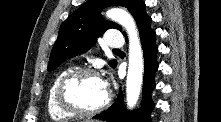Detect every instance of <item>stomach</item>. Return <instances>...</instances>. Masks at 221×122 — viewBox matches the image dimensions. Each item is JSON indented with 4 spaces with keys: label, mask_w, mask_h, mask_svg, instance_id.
I'll list each match as a JSON object with an SVG mask.
<instances>
[{
    "label": "stomach",
    "mask_w": 221,
    "mask_h": 122,
    "mask_svg": "<svg viewBox=\"0 0 221 122\" xmlns=\"http://www.w3.org/2000/svg\"><path fill=\"white\" fill-rule=\"evenodd\" d=\"M83 122H92V121H83Z\"/></svg>",
    "instance_id": "obj_1"
}]
</instances>
